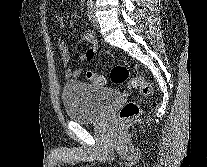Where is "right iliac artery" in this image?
I'll use <instances>...</instances> for the list:
<instances>
[{
	"label": "right iliac artery",
	"mask_w": 207,
	"mask_h": 167,
	"mask_svg": "<svg viewBox=\"0 0 207 167\" xmlns=\"http://www.w3.org/2000/svg\"><path fill=\"white\" fill-rule=\"evenodd\" d=\"M87 17H88L89 21H91V19L93 17V2H92V0H89L87 2Z\"/></svg>",
	"instance_id": "obj_1"
}]
</instances>
